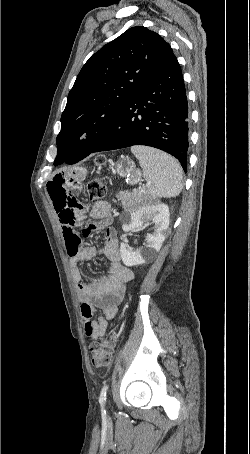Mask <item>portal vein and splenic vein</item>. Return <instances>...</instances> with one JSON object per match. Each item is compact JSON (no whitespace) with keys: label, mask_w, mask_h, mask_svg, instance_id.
<instances>
[{"label":"portal vein and splenic vein","mask_w":250,"mask_h":454,"mask_svg":"<svg viewBox=\"0 0 250 454\" xmlns=\"http://www.w3.org/2000/svg\"><path fill=\"white\" fill-rule=\"evenodd\" d=\"M139 190H140V191H143V189H142V188H140Z\"/></svg>","instance_id":"18ae733b"}]
</instances>
